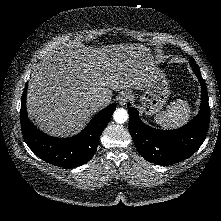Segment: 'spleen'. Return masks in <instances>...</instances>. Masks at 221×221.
Segmentation results:
<instances>
[{
	"mask_svg": "<svg viewBox=\"0 0 221 221\" xmlns=\"http://www.w3.org/2000/svg\"><path fill=\"white\" fill-rule=\"evenodd\" d=\"M190 111L187 101L177 100L168 106L167 111L157 114L154 120L163 129H177L188 122Z\"/></svg>",
	"mask_w": 221,
	"mask_h": 221,
	"instance_id": "1",
	"label": "spleen"
}]
</instances>
